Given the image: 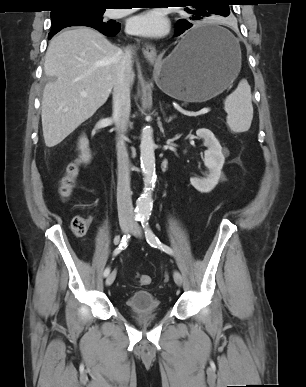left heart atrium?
<instances>
[{"label":"left heart atrium","instance_id":"1","mask_svg":"<svg viewBox=\"0 0 306 387\" xmlns=\"http://www.w3.org/2000/svg\"><path fill=\"white\" fill-rule=\"evenodd\" d=\"M130 33L147 37H160L169 30L168 20L157 11H146L132 17L127 25Z\"/></svg>","mask_w":306,"mask_h":387}]
</instances>
